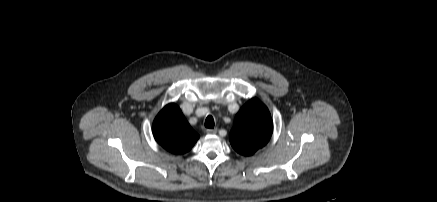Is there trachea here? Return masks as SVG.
I'll return each instance as SVG.
<instances>
[{
    "instance_id": "3493384b",
    "label": "trachea",
    "mask_w": 437,
    "mask_h": 202,
    "mask_svg": "<svg viewBox=\"0 0 437 202\" xmlns=\"http://www.w3.org/2000/svg\"><path fill=\"white\" fill-rule=\"evenodd\" d=\"M214 119L211 115H208L206 120H205V127L209 128V129H213L214 128Z\"/></svg>"
}]
</instances>
